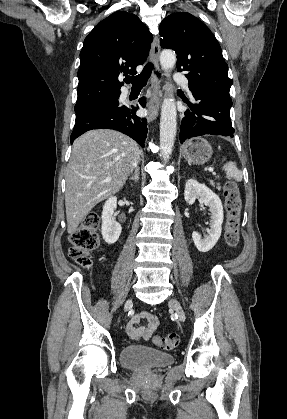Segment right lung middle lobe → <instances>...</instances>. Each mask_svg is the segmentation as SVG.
<instances>
[{
	"label": "right lung middle lobe",
	"instance_id": "right-lung-middle-lobe-1",
	"mask_svg": "<svg viewBox=\"0 0 287 419\" xmlns=\"http://www.w3.org/2000/svg\"><path fill=\"white\" fill-rule=\"evenodd\" d=\"M118 98H119V95L109 97V98H105V99L90 103L88 105L75 107L76 119L86 115L87 113H89L91 111L103 108L105 106H109V105L119 103Z\"/></svg>",
	"mask_w": 287,
	"mask_h": 419
}]
</instances>
